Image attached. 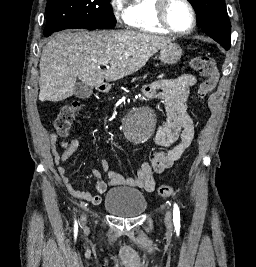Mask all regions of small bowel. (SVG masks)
Listing matches in <instances>:
<instances>
[{
	"mask_svg": "<svg viewBox=\"0 0 256 267\" xmlns=\"http://www.w3.org/2000/svg\"><path fill=\"white\" fill-rule=\"evenodd\" d=\"M197 83L193 74H182L172 79H161L143 88L146 97L157 99L164 105L167 121L160 125L156 131L154 141L162 150L153 152L151 162L142 163L132 178H125L121 174L109 169L107 161L101 160L100 167L107 176V181L99 178V173L93 171L97 177L95 182V192L84 191L73 185L62 166L77 150L79 140H71L65 151L60 154L55 145L57 135L52 134L50 141L54 162L57 165V176L61 184L74 196L83 199L93 205L101 203V195L108 187L130 186L143 188L152 192L155 188L154 174H161L180 159L183 152L190 146L194 138V126L191 118L186 112V102L192 87ZM180 138L179 143L176 141Z\"/></svg>",
	"mask_w": 256,
	"mask_h": 267,
	"instance_id": "1",
	"label": "small bowel"
}]
</instances>
